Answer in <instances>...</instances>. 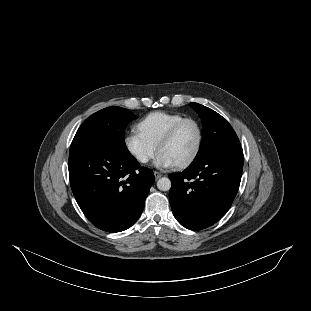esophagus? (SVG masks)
I'll return each mask as SVG.
<instances>
[{"label":"esophagus","instance_id":"1","mask_svg":"<svg viewBox=\"0 0 311 311\" xmlns=\"http://www.w3.org/2000/svg\"><path fill=\"white\" fill-rule=\"evenodd\" d=\"M154 176H155V179L158 180L159 178L162 177V174L158 171H154Z\"/></svg>","mask_w":311,"mask_h":311}]
</instances>
